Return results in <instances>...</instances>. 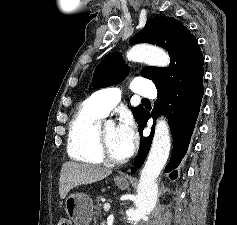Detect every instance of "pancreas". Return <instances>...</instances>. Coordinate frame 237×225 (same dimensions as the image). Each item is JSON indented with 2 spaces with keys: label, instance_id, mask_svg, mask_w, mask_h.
I'll return each mask as SVG.
<instances>
[{
  "label": "pancreas",
  "instance_id": "pancreas-1",
  "mask_svg": "<svg viewBox=\"0 0 237 225\" xmlns=\"http://www.w3.org/2000/svg\"><path fill=\"white\" fill-rule=\"evenodd\" d=\"M100 198L101 197H96V204H95V206H94V208L97 210L96 212H95V215H96V217L97 218H100L101 217V207H102V204H101V202H100Z\"/></svg>",
  "mask_w": 237,
  "mask_h": 225
}]
</instances>
